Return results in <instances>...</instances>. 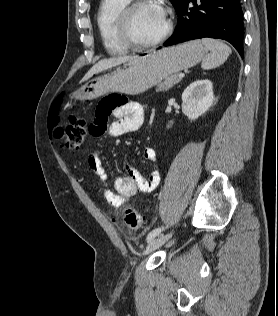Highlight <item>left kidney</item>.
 Listing matches in <instances>:
<instances>
[{
    "mask_svg": "<svg viewBox=\"0 0 278 316\" xmlns=\"http://www.w3.org/2000/svg\"><path fill=\"white\" fill-rule=\"evenodd\" d=\"M182 111L190 119L195 120L213 105L215 101L213 84L208 79L191 83L182 93Z\"/></svg>",
    "mask_w": 278,
    "mask_h": 316,
    "instance_id": "5707ae66",
    "label": "left kidney"
}]
</instances>
